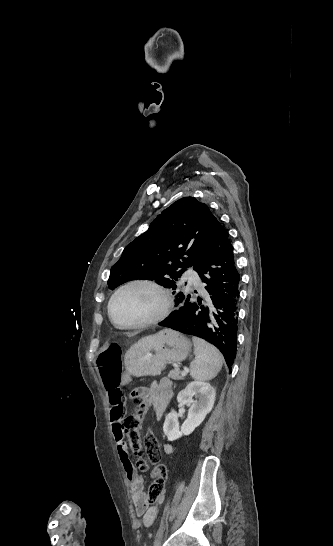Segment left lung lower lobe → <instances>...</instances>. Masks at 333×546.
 <instances>
[{"label":"left lung lower lobe","mask_w":333,"mask_h":546,"mask_svg":"<svg viewBox=\"0 0 333 546\" xmlns=\"http://www.w3.org/2000/svg\"><path fill=\"white\" fill-rule=\"evenodd\" d=\"M194 270L205 283L207 300L189 302L190 294L182 291L175 299L180 307L159 325L209 341L221 351L231 371L237 349L240 275L228 233L219 222Z\"/></svg>","instance_id":"1"}]
</instances>
